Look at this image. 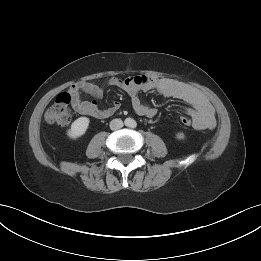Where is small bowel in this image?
<instances>
[{
    "mask_svg": "<svg viewBox=\"0 0 261 261\" xmlns=\"http://www.w3.org/2000/svg\"><path fill=\"white\" fill-rule=\"evenodd\" d=\"M105 86L116 87L125 91L131 99L133 110L140 116L153 118L157 114L155 108L143 103L138 97L139 91L154 90L165 97L180 99L191 105L186 113L192 120L193 128L206 130L213 129L216 126L215 111L203 93L171 78H157L146 75L130 76L125 79L112 77L104 85L94 82H79L69 88L73 109L81 115L97 119L112 116L120 107L118 101H114L110 107L100 109L95 100L86 101L82 99V94L100 99L103 96Z\"/></svg>",
    "mask_w": 261,
    "mask_h": 261,
    "instance_id": "1",
    "label": "small bowel"
}]
</instances>
